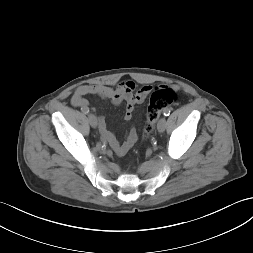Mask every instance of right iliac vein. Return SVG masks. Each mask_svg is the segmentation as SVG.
<instances>
[{"label":"right iliac vein","mask_w":253,"mask_h":253,"mask_svg":"<svg viewBox=\"0 0 253 253\" xmlns=\"http://www.w3.org/2000/svg\"><path fill=\"white\" fill-rule=\"evenodd\" d=\"M88 119H89L90 125L93 128H96L98 124L96 116L94 114H89Z\"/></svg>","instance_id":"63e3f726"}]
</instances>
